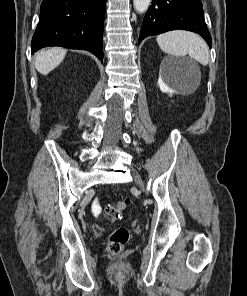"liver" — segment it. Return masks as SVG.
Instances as JSON below:
<instances>
[{
  "label": "liver",
  "instance_id": "6515ba94",
  "mask_svg": "<svg viewBox=\"0 0 247 296\" xmlns=\"http://www.w3.org/2000/svg\"><path fill=\"white\" fill-rule=\"evenodd\" d=\"M67 50L61 47H52L38 52L35 56V67L42 75H47L55 69L65 58Z\"/></svg>",
  "mask_w": 247,
  "mask_h": 296
}]
</instances>
